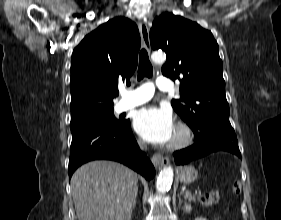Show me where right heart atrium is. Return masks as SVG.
Listing matches in <instances>:
<instances>
[{
	"label": "right heart atrium",
	"instance_id": "1",
	"mask_svg": "<svg viewBox=\"0 0 281 220\" xmlns=\"http://www.w3.org/2000/svg\"><path fill=\"white\" fill-rule=\"evenodd\" d=\"M139 144L142 146V145H144V143L141 141V140H139Z\"/></svg>",
	"mask_w": 281,
	"mask_h": 220
}]
</instances>
